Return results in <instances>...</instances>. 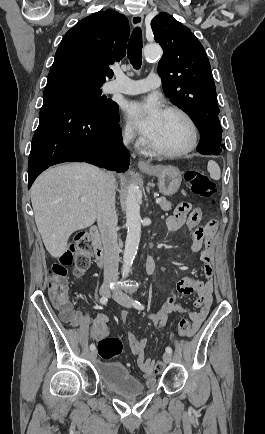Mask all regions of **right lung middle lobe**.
<instances>
[{
    "mask_svg": "<svg viewBox=\"0 0 265 434\" xmlns=\"http://www.w3.org/2000/svg\"><path fill=\"white\" fill-rule=\"evenodd\" d=\"M104 82L82 75L56 74L48 76L45 90H60L78 101L93 116L114 118L118 105L101 96ZM44 90V91H45Z\"/></svg>",
    "mask_w": 265,
    "mask_h": 434,
    "instance_id": "right-lung-middle-lobe-1",
    "label": "right lung middle lobe"
}]
</instances>
